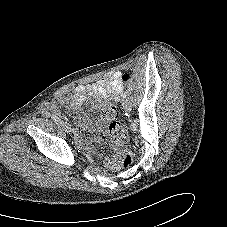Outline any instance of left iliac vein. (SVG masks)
I'll use <instances>...</instances> for the list:
<instances>
[{"label": "left iliac vein", "instance_id": "left-iliac-vein-1", "mask_svg": "<svg viewBox=\"0 0 227 227\" xmlns=\"http://www.w3.org/2000/svg\"><path fill=\"white\" fill-rule=\"evenodd\" d=\"M122 105L127 112L131 111V104L127 100H123Z\"/></svg>", "mask_w": 227, "mask_h": 227}]
</instances>
